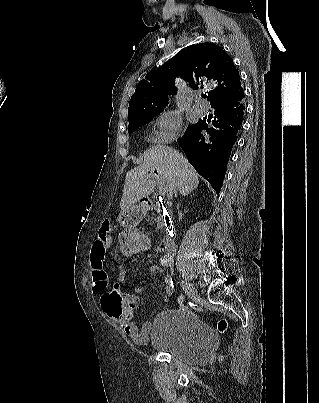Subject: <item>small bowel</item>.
Returning a JSON list of instances; mask_svg holds the SVG:
<instances>
[{"label":"small bowel","instance_id":"obj_1","mask_svg":"<svg viewBox=\"0 0 319 403\" xmlns=\"http://www.w3.org/2000/svg\"><path fill=\"white\" fill-rule=\"evenodd\" d=\"M111 225L105 222L99 231V235L92 247L90 255V269L93 280V291L100 294L101 311L107 316L119 323L122 330L137 344H145L149 341V334L152 330L150 323L138 326L132 318L133 310L138 306V295L146 291L145 286L130 287V293L126 296L122 283L125 281L123 270L119 272L118 281L114 284H108L107 273L104 269V255L110 244L109 233ZM150 240V239H149ZM171 256L164 254L161 257L160 265H152L149 268L150 273H162L163 269L171 265ZM107 290V292H105ZM167 292L170 294L172 289L168 286Z\"/></svg>","mask_w":319,"mask_h":403}]
</instances>
